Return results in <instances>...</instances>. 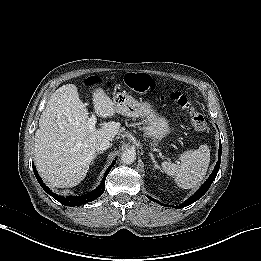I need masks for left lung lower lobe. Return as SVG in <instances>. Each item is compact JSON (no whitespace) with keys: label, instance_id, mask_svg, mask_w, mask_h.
<instances>
[{"label":"left lung lower lobe","instance_id":"1","mask_svg":"<svg viewBox=\"0 0 261 261\" xmlns=\"http://www.w3.org/2000/svg\"><path fill=\"white\" fill-rule=\"evenodd\" d=\"M218 161H217V164L213 170V172L211 173L210 177L206 180V182L200 187V189L193 195L191 196L189 199H187L183 204L179 205V206H172L173 208H182V207H186L192 203H194L195 201H197L198 199H200L206 192L207 190L209 189L210 185L212 184V182L214 181L217 173H218V170H219V167H220V161H221V145H220V148H219V154H218ZM152 201H155L153 198H150ZM157 203H159L158 201H156ZM161 205L165 206V207H171L170 205H165V204H162L160 203Z\"/></svg>","mask_w":261,"mask_h":261}]
</instances>
